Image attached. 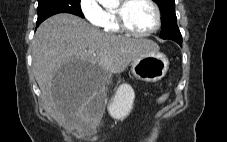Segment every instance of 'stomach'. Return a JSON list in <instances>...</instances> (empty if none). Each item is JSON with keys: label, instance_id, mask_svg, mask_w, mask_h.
I'll list each match as a JSON object with an SVG mask.
<instances>
[{"label": "stomach", "instance_id": "stomach-1", "mask_svg": "<svg viewBox=\"0 0 227 142\" xmlns=\"http://www.w3.org/2000/svg\"><path fill=\"white\" fill-rule=\"evenodd\" d=\"M169 61L159 50L145 52L132 60L133 76L146 82H157L168 70ZM134 90L129 84H121L109 104V112L118 120L125 119L133 106Z\"/></svg>", "mask_w": 227, "mask_h": 142}]
</instances>
